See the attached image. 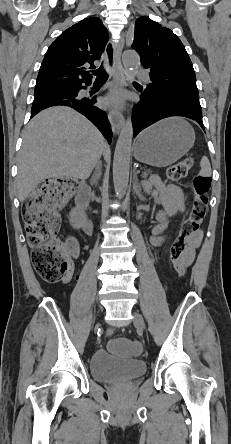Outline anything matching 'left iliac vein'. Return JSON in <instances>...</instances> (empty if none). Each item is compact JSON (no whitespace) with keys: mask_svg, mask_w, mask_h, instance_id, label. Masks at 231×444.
<instances>
[{"mask_svg":"<svg viewBox=\"0 0 231 444\" xmlns=\"http://www.w3.org/2000/svg\"><path fill=\"white\" fill-rule=\"evenodd\" d=\"M134 316V324L138 326L140 329L145 330V323L143 317L136 311L133 312Z\"/></svg>","mask_w":231,"mask_h":444,"instance_id":"4c4485c4","label":"left iliac vein"}]
</instances>
